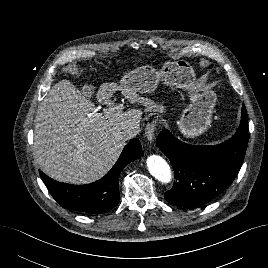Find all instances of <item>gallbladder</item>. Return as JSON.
Listing matches in <instances>:
<instances>
[{"instance_id":"bac80fb5","label":"gallbladder","mask_w":268,"mask_h":268,"mask_svg":"<svg viewBox=\"0 0 268 268\" xmlns=\"http://www.w3.org/2000/svg\"><path fill=\"white\" fill-rule=\"evenodd\" d=\"M90 93H91V89L89 87H85L83 88V94L87 97L90 96Z\"/></svg>"}]
</instances>
